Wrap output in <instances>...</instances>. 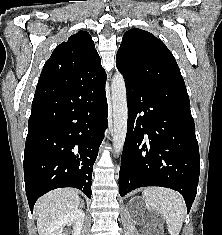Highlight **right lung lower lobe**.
Here are the masks:
<instances>
[{"instance_id": "98d812e1", "label": "right lung lower lobe", "mask_w": 222, "mask_h": 235, "mask_svg": "<svg viewBox=\"0 0 222 235\" xmlns=\"http://www.w3.org/2000/svg\"><path fill=\"white\" fill-rule=\"evenodd\" d=\"M106 75L72 85L38 84L28 122L24 180L30 210L48 191L74 187L91 198L92 167L108 126Z\"/></svg>"}]
</instances>
